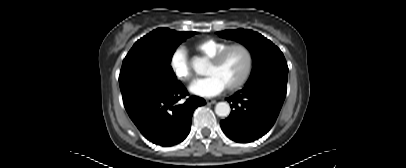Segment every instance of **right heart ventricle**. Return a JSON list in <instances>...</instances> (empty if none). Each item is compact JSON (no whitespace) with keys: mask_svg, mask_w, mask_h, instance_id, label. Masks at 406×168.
<instances>
[{"mask_svg":"<svg viewBox=\"0 0 406 168\" xmlns=\"http://www.w3.org/2000/svg\"><path fill=\"white\" fill-rule=\"evenodd\" d=\"M228 45L227 41L208 38L195 43L193 48L198 54L209 60Z\"/></svg>","mask_w":406,"mask_h":168,"instance_id":"obj_1","label":"right heart ventricle"}]
</instances>
